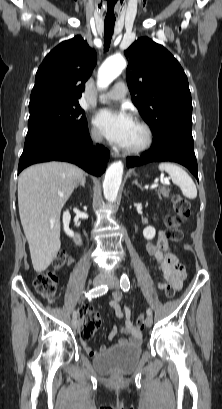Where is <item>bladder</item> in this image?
I'll use <instances>...</instances> for the list:
<instances>
[{
    "instance_id": "31cf9c89",
    "label": "bladder",
    "mask_w": 222,
    "mask_h": 409,
    "mask_svg": "<svg viewBox=\"0 0 222 409\" xmlns=\"http://www.w3.org/2000/svg\"><path fill=\"white\" fill-rule=\"evenodd\" d=\"M142 354L140 344L115 345L93 358L96 371L105 374H130L137 367Z\"/></svg>"
}]
</instances>
